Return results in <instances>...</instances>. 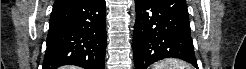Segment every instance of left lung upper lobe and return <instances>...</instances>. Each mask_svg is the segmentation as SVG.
Segmentation results:
<instances>
[{
	"instance_id": "obj_1",
	"label": "left lung upper lobe",
	"mask_w": 246,
	"mask_h": 69,
	"mask_svg": "<svg viewBox=\"0 0 246 69\" xmlns=\"http://www.w3.org/2000/svg\"><path fill=\"white\" fill-rule=\"evenodd\" d=\"M160 5L179 15L182 19L189 20V13L185 0H156Z\"/></svg>"
}]
</instances>
